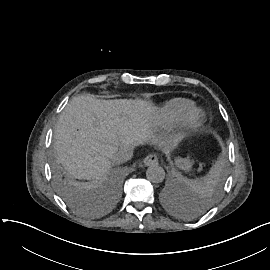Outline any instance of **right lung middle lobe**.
<instances>
[{
    "label": "right lung middle lobe",
    "instance_id": "right-lung-middle-lobe-1",
    "mask_svg": "<svg viewBox=\"0 0 270 270\" xmlns=\"http://www.w3.org/2000/svg\"><path fill=\"white\" fill-rule=\"evenodd\" d=\"M56 186L61 197L68 203V205L79 212L90 214L91 211L87 209L83 202H81L72 192L69 182L60 173L56 174Z\"/></svg>",
    "mask_w": 270,
    "mask_h": 270
}]
</instances>
